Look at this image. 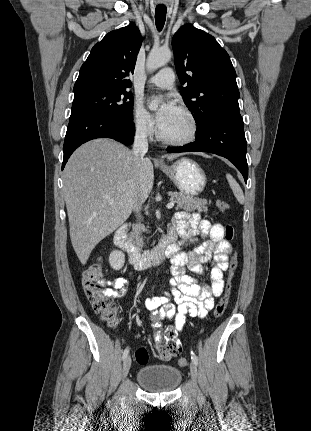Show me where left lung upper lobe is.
Listing matches in <instances>:
<instances>
[{"mask_svg": "<svg viewBox=\"0 0 311 431\" xmlns=\"http://www.w3.org/2000/svg\"><path fill=\"white\" fill-rule=\"evenodd\" d=\"M180 93L197 123V132L227 113H239L236 72L213 36L187 24L173 36Z\"/></svg>", "mask_w": 311, "mask_h": 431, "instance_id": "5c2ea615", "label": "left lung upper lobe"}]
</instances>
